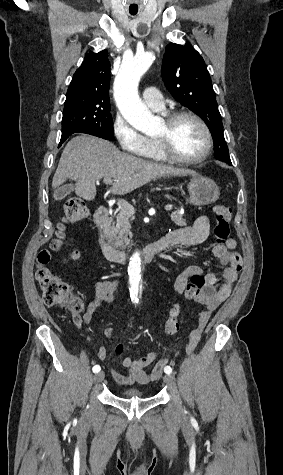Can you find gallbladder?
Listing matches in <instances>:
<instances>
[{"instance_id":"bac80fb5","label":"gallbladder","mask_w":283,"mask_h":475,"mask_svg":"<svg viewBox=\"0 0 283 475\" xmlns=\"http://www.w3.org/2000/svg\"><path fill=\"white\" fill-rule=\"evenodd\" d=\"M73 190V184H65V186H61L59 190H56L54 198L55 200H63V198H66V196H68V194H71Z\"/></svg>"}]
</instances>
